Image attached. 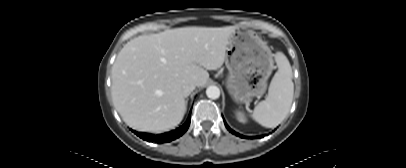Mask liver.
<instances>
[{"instance_id":"liver-1","label":"liver","mask_w":406,"mask_h":168,"mask_svg":"<svg viewBox=\"0 0 406 168\" xmlns=\"http://www.w3.org/2000/svg\"><path fill=\"white\" fill-rule=\"evenodd\" d=\"M235 26L167 29L130 40L112 67V98L131 127L162 132L183 119L185 82L203 86L226 59Z\"/></svg>"}]
</instances>
